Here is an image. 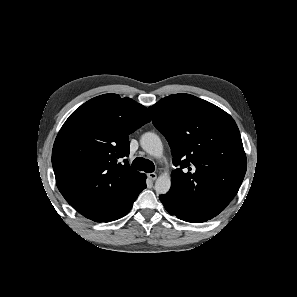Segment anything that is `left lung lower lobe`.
Returning <instances> with one entry per match:
<instances>
[{
    "label": "left lung lower lobe",
    "instance_id": "1",
    "mask_svg": "<svg viewBox=\"0 0 297 297\" xmlns=\"http://www.w3.org/2000/svg\"><path fill=\"white\" fill-rule=\"evenodd\" d=\"M161 202L163 203L165 209L171 214L177 216V218L191 223H202L207 221L206 218L194 210L181 204L177 197L167 193L159 196Z\"/></svg>",
    "mask_w": 297,
    "mask_h": 297
}]
</instances>
